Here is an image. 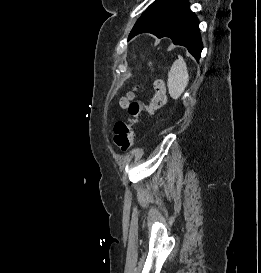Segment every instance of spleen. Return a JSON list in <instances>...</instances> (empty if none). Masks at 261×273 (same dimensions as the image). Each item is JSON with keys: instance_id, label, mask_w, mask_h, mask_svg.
Instances as JSON below:
<instances>
[{"instance_id": "obj_1", "label": "spleen", "mask_w": 261, "mask_h": 273, "mask_svg": "<svg viewBox=\"0 0 261 273\" xmlns=\"http://www.w3.org/2000/svg\"><path fill=\"white\" fill-rule=\"evenodd\" d=\"M189 82V74L186 66V62L184 61L182 56H178V59L175 60L168 72V91L170 96L177 100L185 88L187 87Z\"/></svg>"}]
</instances>
